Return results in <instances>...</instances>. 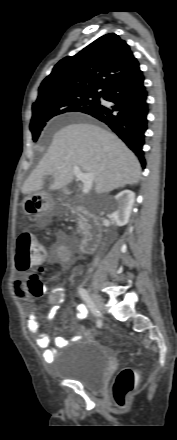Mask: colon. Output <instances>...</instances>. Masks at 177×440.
Segmentation results:
<instances>
[{
  "mask_svg": "<svg viewBox=\"0 0 177 440\" xmlns=\"http://www.w3.org/2000/svg\"><path fill=\"white\" fill-rule=\"evenodd\" d=\"M46 257L45 248L36 242L33 234L23 233L19 236L16 245V268L21 271H28L33 267L42 268ZM45 288L40 279L35 276L31 280V291L34 295H41ZM136 375L132 368H123L115 378L113 384V397L119 406H125L127 397L134 389Z\"/></svg>",
  "mask_w": 177,
  "mask_h": 440,
  "instance_id": "colon-1",
  "label": "colon"
}]
</instances>
